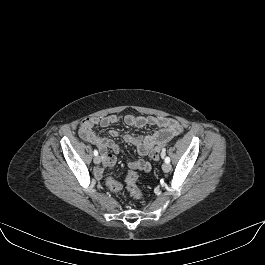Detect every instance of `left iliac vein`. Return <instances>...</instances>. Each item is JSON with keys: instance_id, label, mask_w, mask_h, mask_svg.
<instances>
[{"instance_id": "1", "label": "left iliac vein", "mask_w": 265, "mask_h": 265, "mask_svg": "<svg viewBox=\"0 0 265 265\" xmlns=\"http://www.w3.org/2000/svg\"><path fill=\"white\" fill-rule=\"evenodd\" d=\"M162 169L164 172H169L171 170V165L169 163H164Z\"/></svg>"}]
</instances>
